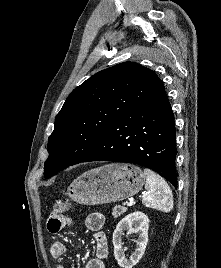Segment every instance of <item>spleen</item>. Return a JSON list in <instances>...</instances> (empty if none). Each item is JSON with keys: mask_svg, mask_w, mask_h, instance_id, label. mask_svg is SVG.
I'll return each mask as SVG.
<instances>
[{"mask_svg": "<svg viewBox=\"0 0 221 268\" xmlns=\"http://www.w3.org/2000/svg\"><path fill=\"white\" fill-rule=\"evenodd\" d=\"M146 194L142 203L149 208L157 209L162 212H170L173 209V195L166 181L152 170L145 168Z\"/></svg>", "mask_w": 221, "mask_h": 268, "instance_id": "1", "label": "spleen"}]
</instances>
